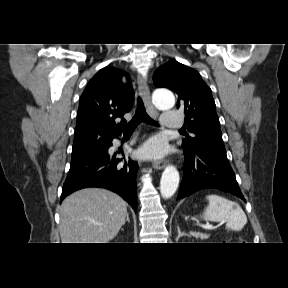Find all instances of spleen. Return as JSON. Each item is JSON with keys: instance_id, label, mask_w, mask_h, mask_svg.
<instances>
[{"instance_id": "3e777b00", "label": "spleen", "mask_w": 288, "mask_h": 288, "mask_svg": "<svg viewBox=\"0 0 288 288\" xmlns=\"http://www.w3.org/2000/svg\"><path fill=\"white\" fill-rule=\"evenodd\" d=\"M209 204L203 212L204 219L214 222H226V228L240 231L247 223V217L236 202L219 195H208Z\"/></svg>"}]
</instances>
